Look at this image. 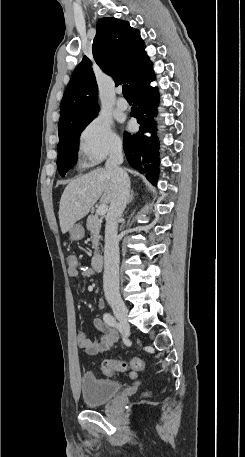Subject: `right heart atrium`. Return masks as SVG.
Segmentation results:
<instances>
[{"instance_id": "1", "label": "right heart atrium", "mask_w": 245, "mask_h": 457, "mask_svg": "<svg viewBox=\"0 0 245 457\" xmlns=\"http://www.w3.org/2000/svg\"><path fill=\"white\" fill-rule=\"evenodd\" d=\"M83 153L92 161H101L120 146V139L112 129L111 121L105 117L90 120L79 136Z\"/></svg>"}]
</instances>
